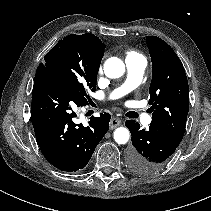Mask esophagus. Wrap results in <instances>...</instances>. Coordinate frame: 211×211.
Returning <instances> with one entry per match:
<instances>
[{
  "mask_svg": "<svg viewBox=\"0 0 211 211\" xmlns=\"http://www.w3.org/2000/svg\"><path fill=\"white\" fill-rule=\"evenodd\" d=\"M121 123H122V121H121V119H119V118H112L111 120H110V129H114V128H116V127H118L119 125H121Z\"/></svg>",
  "mask_w": 211,
  "mask_h": 211,
  "instance_id": "1",
  "label": "esophagus"
}]
</instances>
